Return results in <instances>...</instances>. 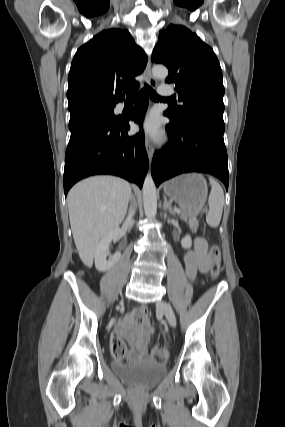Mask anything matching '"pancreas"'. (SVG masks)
Wrapping results in <instances>:
<instances>
[{
	"label": "pancreas",
	"instance_id": "cf45deb5",
	"mask_svg": "<svg viewBox=\"0 0 285 427\" xmlns=\"http://www.w3.org/2000/svg\"><path fill=\"white\" fill-rule=\"evenodd\" d=\"M181 218L183 219V220H187V219H189V225H190V228L193 230V231H195L196 229H197V227H198V221L195 219V218H191V217H188L186 214H183L182 216H181Z\"/></svg>",
	"mask_w": 285,
	"mask_h": 427
}]
</instances>
